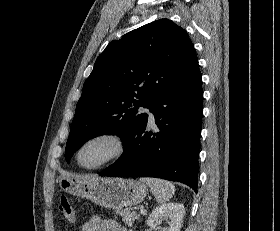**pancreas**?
Instances as JSON below:
<instances>
[{"label": "pancreas", "mask_w": 280, "mask_h": 231, "mask_svg": "<svg viewBox=\"0 0 280 231\" xmlns=\"http://www.w3.org/2000/svg\"><path fill=\"white\" fill-rule=\"evenodd\" d=\"M116 213H120V215H123V221L124 223H127V225H130L132 227L134 219H138L139 215L135 213V211H130V209H117Z\"/></svg>", "instance_id": "1"}]
</instances>
